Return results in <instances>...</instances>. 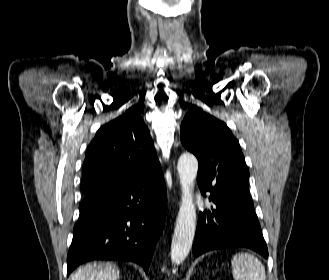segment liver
Segmentation results:
<instances>
[{
    "label": "liver",
    "mask_w": 329,
    "mask_h": 280,
    "mask_svg": "<svg viewBox=\"0 0 329 280\" xmlns=\"http://www.w3.org/2000/svg\"><path fill=\"white\" fill-rule=\"evenodd\" d=\"M119 268L110 263H89L78 269L69 280H117Z\"/></svg>",
    "instance_id": "6515ba94"
}]
</instances>
